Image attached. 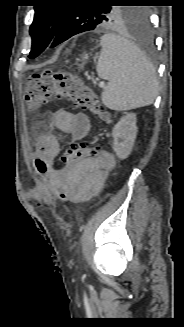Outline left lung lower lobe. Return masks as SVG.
I'll list each match as a JSON object with an SVG mask.
<instances>
[{"label": "left lung lower lobe", "instance_id": "left-lung-lower-lobe-1", "mask_svg": "<svg viewBox=\"0 0 184 327\" xmlns=\"http://www.w3.org/2000/svg\"><path fill=\"white\" fill-rule=\"evenodd\" d=\"M133 35L135 38V42L137 44V48L144 54L153 55L155 53V42L152 33V25L147 16L145 20L140 22L137 26L134 27ZM79 34L74 30H66L65 28H60L56 33L55 37L51 42V48L56 45L66 41L70 37Z\"/></svg>", "mask_w": 184, "mask_h": 327}]
</instances>
